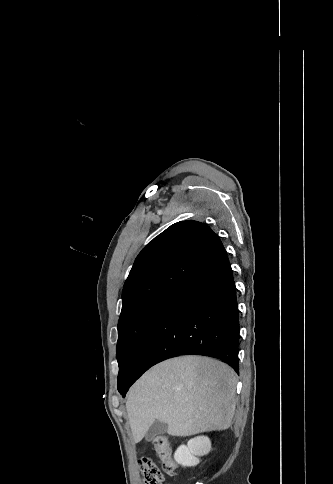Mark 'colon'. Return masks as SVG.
Here are the masks:
<instances>
[{"mask_svg":"<svg viewBox=\"0 0 333 484\" xmlns=\"http://www.w3.org/2000/svg\"><path fill=\"white\" fill-rule=\"evenodd\" d=\"M152 443L161 459V465L150 458L142 459L140 464L143 481L144 484H163L167 476L175 474L177 465L169 441L165 436H156Z\"/></svg>","mask_w":333,"mask_h":484,"instance_id":"obj_1","label":"colon"}]
</instances>
